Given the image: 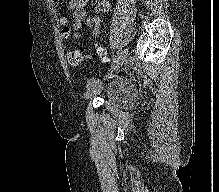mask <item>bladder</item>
I'll return each mask as SVG.
<instances>
[{"label": "bladder", "mask_w": 219, "mask_h": 192, "mask_svg": "<svg viewBox=\"0 0 219 192\" xmlns=\"http://www.w3.org/2000/svg\"><path fill=\"white\" fill-rule=\"evenodd\" d=\"M135 96V89L129 82H114L105 88L104 103L108 107L127 105Z\"/></svg>", "instance_id": "31cf9c89"}]
</instances>
